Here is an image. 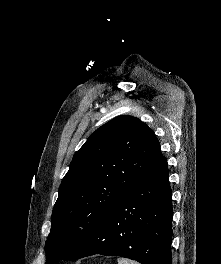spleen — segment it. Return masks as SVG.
<instances>
[{"instance_id": "3e777b00", "label": "spleen", "mask_w": 221, "mask_h": 264, "mask_svg": "<svg viewBox=\"0 0 221 264\" xmlns=\"http://www.w3.org/2000/svg\"><path fill=\"white\" fill-rule=\"evenodd\" d=\"M118 264H139L135 261H132V260H129V259H126V258H118Z\"/></svg>"}]
</instances>
